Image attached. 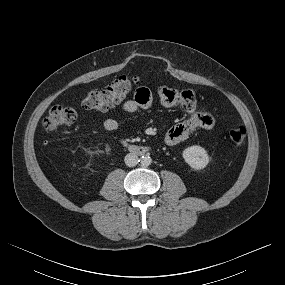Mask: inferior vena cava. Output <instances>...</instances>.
<instances>
[{"mask_svg":"<svg viewBox=\"0 0 285 285\" xmlns=\"http://www.w3.org/2000/svg\"><path fill=\"white\" fill-rule=\"evenodd\" d=\"M124 161L127 166L133 167L138 163V156L133 153H129L125 156Z\"/></svg>","mask_w":285,"mask_h":285,"instance_id":"602c4592","label":"inferior vena cava"}]
</instances>
